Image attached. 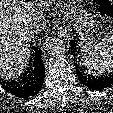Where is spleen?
Listing matches in <instances>:
<instances>
[{
  "label": "spleen",
  "instance_id": "obj_1",
  "mask_svg": "<svg viewBox=\"0 0 113 113\" xmlns=\"http://www.w3.org/2000/svg\"><path fill=\"white\" fill-rule=\"evenodd\" d=\"M82 62L92 76L103 75L113 69V35L85 46Z\"/></svg>",
  "mask_w": 113,
  "mask_h": 113
}]
</instances>
